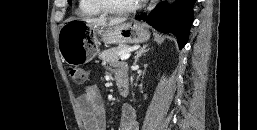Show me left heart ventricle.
Here are the masks:
<instances>
[{"label": "left heart ventricle", "instance_id": "1", "mask_svg": "<svg viewBox=\"0 0 257 130\" xmlns=\"http://www.w3.org/2000/svg\"><path fill=\"white\" fill-rule=\"evenodd\" d=\"M138 0H108V2L116 7L125 8L134 5Z\"/></svg>", "mask_w": 257, "mask_h": 130}]
</instances>
